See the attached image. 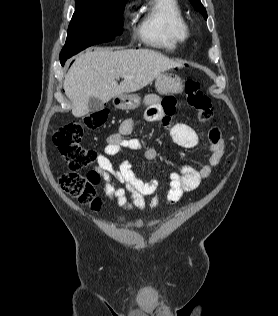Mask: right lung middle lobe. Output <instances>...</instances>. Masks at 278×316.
<instances>
[{
  "label": "right lung middle lobe",
  "mask_w": 278,
  "mask_h": 316,
  "mask_svg": "<svg viewBox=\"0 0 278 316\" xmlns=\"http://www.w3.org/2000/svg\"><path fill=\"white\" fill-rule=\"evenodd\" d=\"M126 1H76L60 60H67L91 45L108 42L121 35Z\"/></svg>",
  "instance_id": "dd1d6c3e"
}]
</instances>
